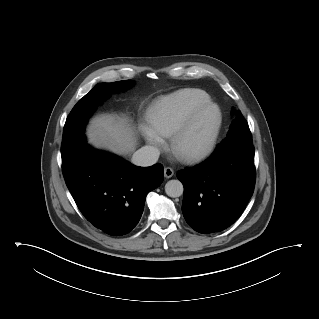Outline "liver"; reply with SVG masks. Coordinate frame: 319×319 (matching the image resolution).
<instances>
[{
    "instance_id": "liver-1",
    "label": "liver",
    "mask_w": 319,
    "mask_h": 319,
    "mask_svg": "<svg viewBox=\"0 0 319 319\" xmlns=\"http://www.w3.org/2000/svg\"><path fill=\"white\" fill-rule=\"evenodd\" d=\"M88 142L118 155H128L135 150L136 137L126 117L102 114L93 118L87 127Z\"/></svg>"
}]
</instances>
